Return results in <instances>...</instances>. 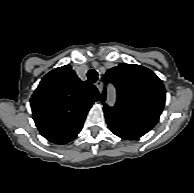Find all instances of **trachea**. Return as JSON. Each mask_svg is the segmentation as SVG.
I'll use <instances>...</instances> for the list:
<instances>
[{
  "instance_id": "1",
  "label": "trachea",
  "mask_w": 194,
  "mask_h": 193,
  "mask_svg": "<svg viewBox=\"0 0 194 193\" xmlns=\"http://www.w3.org/2000/svg\"><path fill=\"white\" fill-rule=\"evenodd\" d=\"M87 76L88 80L92 83H95L98 79V73L94 69L89 70Z\"/></svg>"
}]
</instances>
